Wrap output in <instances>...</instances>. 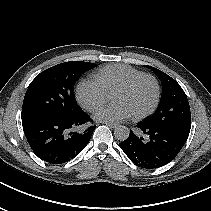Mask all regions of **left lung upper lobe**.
Returning <instances> with one entry per match:
<instances>
[{
    "instance_id": "1",
    "label": "left lung upper lobe",
    "mask_w": 211,
    "mask_h": 211,
    "mask_svg": "<svg viewBox=\"0 0 211 211\" xmlns=\"http://www.w3.org/2000/svg\"><path fill=\"white\" fill-rule=\"evenodd\" d=\"M162 83V96L158 110L144 124L171 129L188 138L191 128V113L187 96L172 77L152 67Z\"/></svg>"
}]
</instances>
